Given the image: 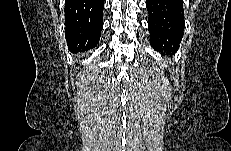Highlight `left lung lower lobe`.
<instances>
[{
    "mask_svg": "<svg viewBox=\"0 0 231 151\" xmlns=\"http://www.w3.org/2000/svg\"><path fill=\"white\" fill-rule=\"evenodd\" d=\"M150 44L157 51L176 52L183 37L182 0H146Z\"/></svg>",
    "mask_w": 231,
    "mask_h": 151,
    "instance_id": "left-lung-lower-lobe-1",
    "label": "left lung lower lobe"
}]
</instances>
